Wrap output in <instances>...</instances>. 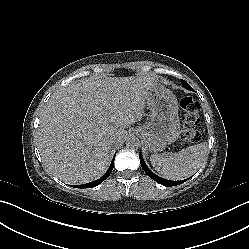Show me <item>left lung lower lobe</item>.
<instances>
[{
	"mask_svg": "<svg viewBox=\"0 0 249 249\" xmlns=\"http://www.w3.org/2000/svg\"><path fill=\"white\" fill-rule=\"evenodd\" d=\"M139 158H140L141 166L144 169V171L148 174L149 177H151L154 181L158 182L159 184H162L164 186H173V185L181 184L183 182V181H179V182L170 181V180H166V179H163L161 177H158L153 172H151L150 169L146 166V164L142 158L141 152L139 153Z\"/></svg>",
	"mask_w": 249,
	"mask_h": 249,
	"instance_id": "0a47b994",
	"label": "left lung lower lobe"
}]
</instances>
